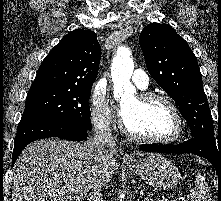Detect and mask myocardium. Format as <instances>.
<instances>
[{
	"label": "myocardium",
	"mask_w": 221,
	"mask_h": 201,
	"mask_svg": "<svg viewBox=\"0 0 221 201\" xmlns=\"http://www.w3.org/2000/svg\"><path fill=\"white\" fill-rule=\"evenodd\" d=\"M136 97L140 102H143V103H147L151 101H162L163 103H165L169 107L173 115L175 116V119L177 122V130L173 136L168 137V138L148 137V136L137 134L133 132L132 130H130L125 124L123 117H122L120 120L119 126H120L121 131L125 135L137 141L154 143V144H169L181 138V136L184 133V121L176 104L170 98H168L165 95L155 93V92L140 93Z\"/></svg>",
	"instance_id": "obj_1"
}]
</instances>
